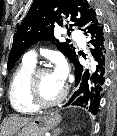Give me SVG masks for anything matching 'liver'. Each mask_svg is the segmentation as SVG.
<instances>
[{"mask_svg": "<svg viewBox=\"0 0 117 136\" xmlns=\"http://www.w3.org/2000/svg\"><path fill=\"white\" fill-rule=\"evenodd\" d=\"M32 120V117H21L19 115L11 116L3 122L1 135L13 136L20 128L24 127Z\"/></svg>", "mask_w": 117, "mask_h": 136, "instance_id": "obj_1", "label": "liver"}]
</instances>
